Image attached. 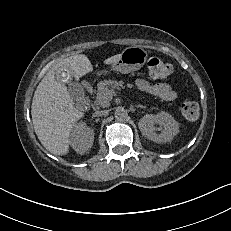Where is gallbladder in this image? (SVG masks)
<instances>
[{
	"label": "gallbladder",
	"instance_id": "gallbladder-1",
	"mask_svg": "<svg viewBox=\"0 0 231 231\" xmlns=\"http://www.w3.org/2000/svg\"><path fill=\"white\" fill-rule=\"evenodd\" d=\"M56 78L62 83H68L70 93L75 99H81L84 96L83 88L78 83H71L72 73L66 66H61L56 73Z\"/></svg>",
	"mask_w": 231,
	"mask_h": 231
}]
</instances>
